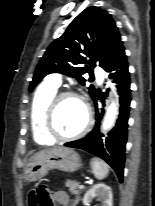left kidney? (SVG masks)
Wrapping results in <instances>:
<instances>
[{"mask_svg":"<svg viewBox=\"0 0 155 206\" xmlns=\"http://www.w3.org/2000/svg\"><path fill=\"white\" fill-rule=\"evenodd\" d=\"M94 198L101 201L102 206H112L113 194L111 188L104 183L94 185L85 193L83 204L85 206H90Z\"/></svg>","mask_w":155,"mask_h":206,"instance_id":"5707ae66","label":"left kidney"}]
</instances>
